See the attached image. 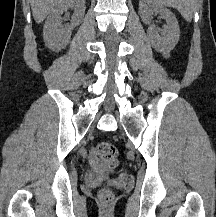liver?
Masks as SVG:
<instances>
[{"instance_id":"6515ba94","label":"liver","mask_w":216,"mask_h":217,"mask_svg":"<svg viewBox=\"0 0 216 217\" xmlns=\"http://www.w3.org/2000/svg\"><path fill=\"white\" fill-rule=\"evenodd\" d=\"M62 0H30L32 14L37 23H41L46 16L59 4Z\"/></svg>"}]
</instances>
